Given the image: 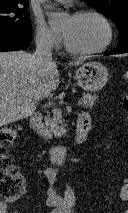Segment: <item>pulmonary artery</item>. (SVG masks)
Wrapping results in <instances>:
<instances>
[{
	"instance_id": "obj_1",
	"label": "pulmonary artery",
	"mask_w": 128,
	"mask_h": 213,
	"mask_svg": "<svg viewBox=\"0 0 128 213\" xmlns=\"http://www.w3.org/2000/svg\"><path fill=\"white\" fill-rule=\"evenodd\" d=\"M56 1H64V0H56Z\"/></svg>"
}]
</instances>
